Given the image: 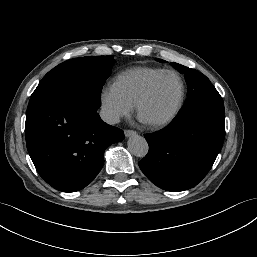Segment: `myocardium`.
<instances>
[{
  "instance_id": "obj_1",
  "label": "myocardium",
  "mask_w": 257,
  "mask_h": 257,
  "mask_svg": "<svg viewBox=\"0 0 257 257\" xmlns=\"http://www.w3.org/2000/svg\"><path fill=\"white\" fill-rule=\"evenodd\" d=\"M166 75H174L179 80L180 87H181L180 95H179V99L177 101L175 108L166 118L159 120V121H154V122L144 120V122L148 126L155 128V129L164 128V127L170 125L180 114L182 107L184 105L185 97H186V85H185V82H184V79L182 78V76L174 70H164L163 72H161L160 74L155 76L147 84V86L145 87V89L143 90V92L141 93V95L139 96V98L136 102L137 114H138L139 118H142L141 117L142 106L144 105V103L148 100V98L152 94L153 89H154L155 85L157 84V82Z\"/></svg>"
}]
</instances>
